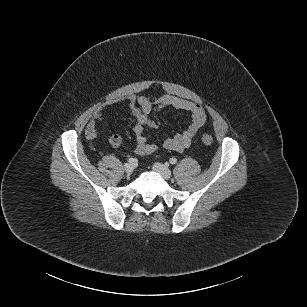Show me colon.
Here are the masks:
<instances>
[{
    "mask_svg": "<svg viewBox=\"0 0 307 307\" xmlns=\"http://www.w3.org/2000/svg\"><path fill=\"white\" fill-rule=\"evenodd\" d=\"M201 141L205 145H210L213 142V137L209 134H203L201 137ZM110 143L113 146H119L121 143V137L119 135H113L110 138Z\"/></svg>",
    "mask_w": 307,
    "mask_h": 307,
    "instance_id": "colon-1",
    "label": "colon"
}]
</instances>
